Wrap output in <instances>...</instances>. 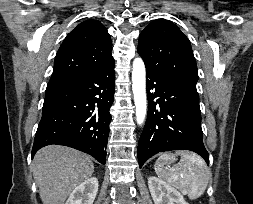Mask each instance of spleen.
I'll return each mask as SVG.
<instances>
[{"instance_id":"3e777b00","label":"spleen","mask_w":253,"mask_h":204,"mask_svg":"<svg viewBox=\"0 0 253 204\" xmlns=\"http://www.w3.org/2000/svg\"><path fill=\"white\" fill-rule=\"evenodd\" d=\"M181 156L177 165L170 166V160ZM157 176L168 184L197 199L205 192L211 172L204 159L189 151H176L174 154L164 153L155 162Z\"/></svg>"}]
</instances>
